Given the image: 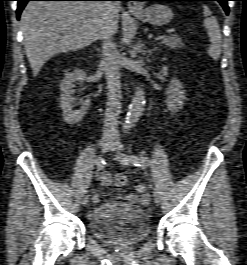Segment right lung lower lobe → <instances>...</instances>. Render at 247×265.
Masks as SVG:
<instances>
[{"instance_id": "1", "label": "right lung lower lobe", "mask_w": 247, "mask_h": 265, "mask_svg": "<svg viewBox=\"0 0 247 265\" xmlns=\"http://www.w3.org/2000/svg\"><path fill=\"white\" fill-rule=\"evenodd\" d=\"M18 1V8H17V19L20 18V14L27 4L28 1H105V0H17ZM113 1H126V0H113Z\"/></svg>"}]
</instances>
